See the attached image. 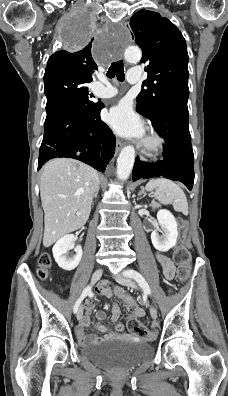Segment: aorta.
Instances as JSON below:
<instances>
[{
  "label": "aorta",
  "mask_w": 228,
  "mask_h": 396,
  "mask_svg": "<svg viewBox=\"0 0 228 396\" xmlns=\"http://www.w3.org/2000/svg\"><path fill=\"white\" fill-rule=\"evenodd\" d=\"M125 59L129 63H137L140 61L142 53L140 49L135 47H128L124 51ZM135 161V149L133 146H125L117 160V178L119 180H126L130 176Z\"/></svg>",
  "instance_id": "1"
}]
</instances>
